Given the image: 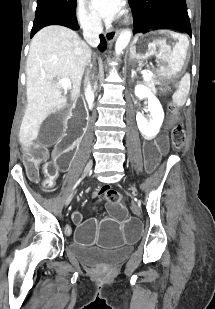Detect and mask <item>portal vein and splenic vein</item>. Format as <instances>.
<instances>
[{
	"mask_svg": "<svg viewBox=\"0 0 215 309\" xmlns=\"http://www.w3.org/2000/svg\"><path fill=\"white\" fill-rule=\"evenodd\" d=\"M141 74L142 76H147L148 72L147 70H141ZM71 82H70V78H60V80H58L56 86H70Z\"/></svg>",
	"mask_w": 215,
	"mask_h": 309,
	"instance_id": "18ae733b",
	"label": "portal vein and splenic vein"
}]
</instances>
